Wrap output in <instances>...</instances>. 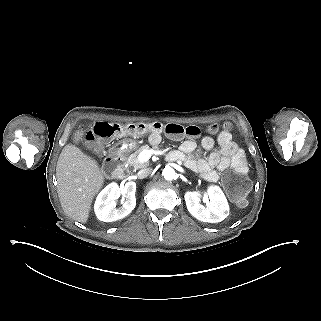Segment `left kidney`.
Returning a JSON list of instances; mask_svg holds the SVG:
<instances>
[{
    "instance_id": "obj_1",
    "label": "left kidney",
    "mask_w": 321,
    "mask_h": 321,
    "mask_svg": "<svg viewBox=\"0 0 321 321\" xmlns=\"http://www.w3.org/2000/svg\"><path fill=\"white\" fill-rule=\"evenodd\" d=\"M207 193L210 202L207 207L200 204V194L198 192H186L184 195L188 211L196 219L218 223L229 215V205L227 199L219 186H209Z\"/></svg>"
}]
</instances>
